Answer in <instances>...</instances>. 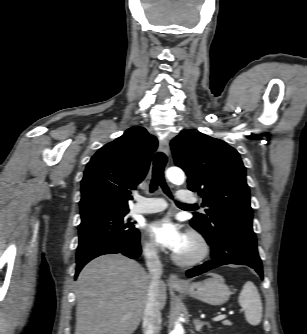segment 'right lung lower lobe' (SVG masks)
Segmentation results:
<instances>
[{
  "label": "right lung lower lobe",
  "instance_id": "obj_1",
  "mask_svg": "<svg viewBox=\"0 0 307 334\" xmlns=\"http://www.w3.org/2000/svg\"><path fill=\"white\" fill-rule=\"evenodd\" d=\"M140 237L136 242L133 244H130L128 246H123L119 248H105L96 252H93L86 257L82 258L81 260L77 261V267H76V273L75 277L78 276V273L80 270L83 268V266L88 263L90 260L104 254H115V253H122L123 255L136 259L140 256L141 254V247H140Z\"/></svg>",
  "mask_w": 307,
  "mask_h": 334
}]
</instances>
